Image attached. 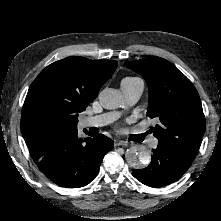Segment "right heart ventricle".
Instances as JSON below:
<instances>
[{
    "label": "right heart ventricle",
    "instance_id": "e07e8e85",
    "mask_svg": "<svg viewBox=\"0 0 221 221\" xmlns=\"http://www.w3.org/2000/svg\"><path fill=\"white\" fill-rule=\"evenodd\" d=\"M135 80H139V78H136V77H126L122 81H135Z\"/></svg>",
    "mask_w": 221,
    "mask_h": 221
}]
</instances>
